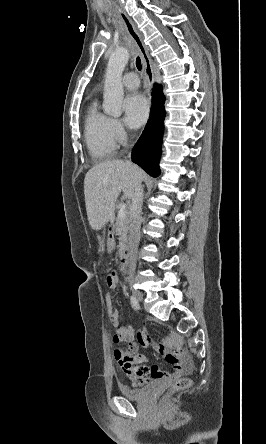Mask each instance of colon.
Segmentation results:
<instances>
[{
  "label": "colon",
  "instance_id": "colon-1",
  "mask_svg": "<svg viewBox=\"0 0 266 444\" xmlns=\"http://www.w3.org/2000/svg\"><path fill=\"white\" fill-rule=\"evenodd\" d=\"M105 307H106V312H107V315L109 316V318H114L119 313L118 310L116 309V307L113 303V299L110 295H108L106 297ZM190 384H191V382L188 378H180L175 382V384L172 387V390L173 391L183 390V389H186L187 387H189Z\"/></svg>",
  "mask_w": 266,
  "mask_h": 444
}]
</instances>
